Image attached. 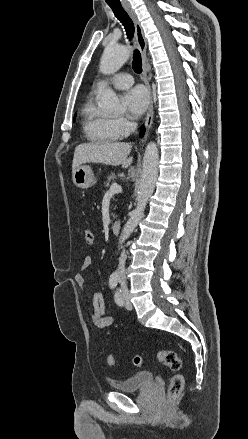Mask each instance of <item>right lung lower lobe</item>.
I'll return each instance as SVG.
<instances>
[{
    "instance_id": "1",
    "label": "right lung lower lobe",
    "mask_w": 248,
    "mask_h": 439,
    "mask_svg": "<svg viewBox=\"0 0 248 439\" xmlns=\"http://www.w3.org/2000/svg\"><path fill=\"white\" fill-rule=\"evenodd\" d=\"M144 131H145V128L142 127V129H141V135H143Z\"/></svg>"
}]
</instances>
